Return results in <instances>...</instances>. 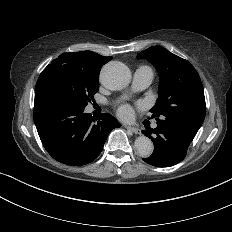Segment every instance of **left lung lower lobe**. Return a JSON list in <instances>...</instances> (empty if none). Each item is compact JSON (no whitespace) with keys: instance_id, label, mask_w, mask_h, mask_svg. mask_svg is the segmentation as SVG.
Masks as SVG:
<instances>
[{"instance_id":"0a47b994","label":"left lung lower lobe","mask_w":232,"mask_h":232,"mask_svg":"<svg viewBox=\"0 0 232 232\" xmlns=\"http://www.w3.org/2000/svg\"><path fill=\"white\" fill-rule=\"evenodd\" d=\"M154 143L152 155L143 160L156 167H170L182 161L192 140L162 125L142 131Z\"/></svg>"}]
</instances>
